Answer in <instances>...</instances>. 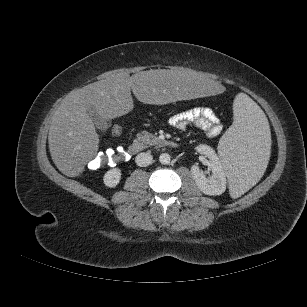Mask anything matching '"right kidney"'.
<instances>
[{"instance_id": "right-kidney-1", "label": "right kidney", "mask_w": 307, "mask_h": 307, "mask_svg": "<svg viewBox=\"0 0 307 307\" xmlns=\"http://www.w3.org/2000/svg\"><path fill=\"white\" fill-rule=\"evenodd\" d=\"M121 175L122 173L119 168L108 170L103 177L104 184L110 188L116 187L120 182Z\"/></svg>"}]
</instances>
